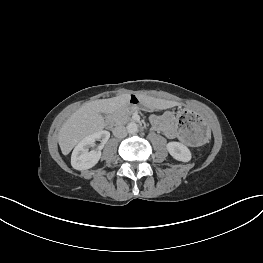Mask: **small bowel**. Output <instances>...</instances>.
Returning a JSON list of instances; mask_svg holds the SVG:
<instances>
[{"instance_id":"c3829d8e","label":"small bowel","mask_w":263,"mask_h":263,"mask_svg":"<svg viewBox=\"0 0 263 263\" xmlns=\"http://www.w3.org/2000/svg\"><path fill=\"white\" fill-rule=\"evenodd\" d=\"M150 120L153 126L161 130L166 137L170 139L178 138L184 141L181 135L174 128L173 124L175 119L172 113L166 112L161 116H152Z\"/></svg>"}]
</instances>
